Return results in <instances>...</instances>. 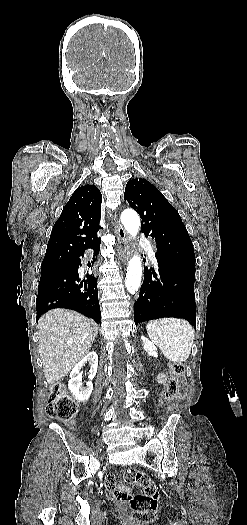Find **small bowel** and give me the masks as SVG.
I'll return each mask as SVG.
<instances>
[{
    "mask_svg": "<svg viewBox=\"0 0 247 525\" xmlns=\"http://www.w3.org/2000/svg\"><path fill=\"white\" fill-rule=\"evenodd\" d=\"M166 380H167V377L164 373L159 374L157 377V382L161 386L166 383ZM105 480L107 481L106 487L110 490H113V488L115 487V482L113 481L114 475L112 473H107L105 475ZM129 491L130 489L127 486H121V489H114L112 491V494L115 496L114 500L116 502H124L126 500V497L124 495H126V492H129Z\"/></svg>",
    "mask_w": 247,
    "mask_h": 525,
    "instance_id": "c3829d8e",
    "label": "small bowel"
}]
</instances>
